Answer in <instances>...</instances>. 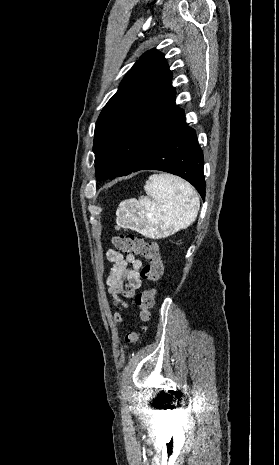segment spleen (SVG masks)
I'll use <instances>...</instances> for the list:
<instances>
[{"instance_id":"spleen-1","label":"spleen","mask_w":279,"mask_h":465,"mask_svg":"<svg viewBox=\"0 0 279 465\" xmlns=\"http://www.w3.org/2000/svg\"><path fill=\"white\" fill-rule=\"evenodd\" d=\"M147 196L120 203L117 225L145 236H168L196 219L200 201L192 186L170 174H154L144 185Z\"/></svg>"}]
</instances>
